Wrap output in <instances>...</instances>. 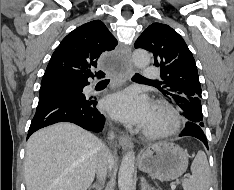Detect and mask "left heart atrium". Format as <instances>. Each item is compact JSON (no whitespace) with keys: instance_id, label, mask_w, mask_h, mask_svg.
I'll return each instance as SVG.
<instances>
[{"instance_id":"obj_1","label":"left heart atrium","mask_w":234,"mask_h":190,"mask_svg":"<svg viewBox=\"0 0 234 190\" xmlns=\"http://www.w3.org/2000/svg\"><path fill=\"white\" fill-rule=\"evenodd\" d=\"M105 108L116 120L142 127L148 125L154 112L149 99L139 95L133 89H126L108 96L105 100Z\"/></svg>"}]
</instances>
